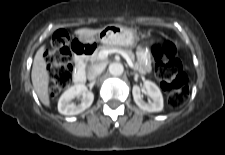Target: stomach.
Masks as SVG:
<instances>
[{
	"label": "stomach",
	"instance_id": "1",
	"mask_svg": "<svg viewBox=\"0 0 225 155\" xmlns=\"http://www.w3.org/2000/svg\"><path fill=\"white\" fill-rule=\"evenodd\" d=\"M97 40L106 45L117 44L121 46L133 47L140 40L143 42H146L147 40L152 42L153 38L149 33L142 34L139 37L137 33L131 29L124 28L119 25H109L104 27L98 33Z\"/></svg>",
	"mask_w": 225,
	"mask_h": 155
}]
</instances>
